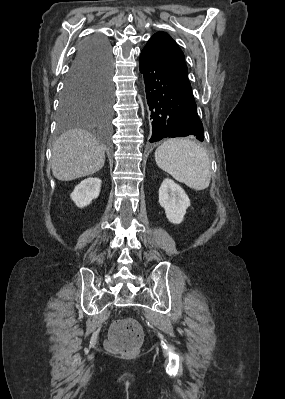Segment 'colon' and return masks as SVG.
I'll return each instance as SVG.
<instances>
[{"label": "colon", "mask_w": 285, "mask_h": 399, "mask_svg": "<svg viewBox=\"0 0 285 399\" xmlns=\"http://www.w3.org/2000/svg\"><path fill=\"white\" fill-rule=\"evenodd\" d=\"M141 326L132 320H122L113 325L107 340L110 351L123 354L135 353L143 341Z\"/></svg>", "instance_id": "5ec220e1"}]
</instances>
